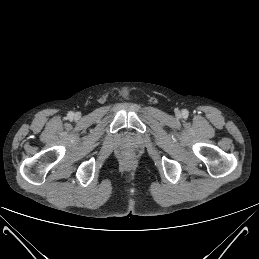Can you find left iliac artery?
I'll return each mask as SVG.
<instances>
[{
    "instance_id": "obj_1",
    "label": "left iliac artery",
    "mask_w": 259,
    "mask_h": 259,
    "mask_svg": "<svg viewBox=\"0 0 259 259\" xmlns=\"http://www.w3.org/2000/svg\"><path fill=\"white\" fill-rule=\"evenodd\" d=\"M182 114H183L184 117H188L189 112H188V110L184 109V110L182 111Z\"/></svg>"
}]
</instances>
